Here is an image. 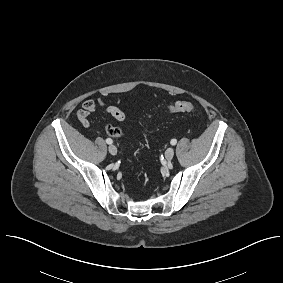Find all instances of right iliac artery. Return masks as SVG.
<instances>
[{
  "mask_svg": "<svg viewBox=\"0 0 283 283\" xmlns=\"http://www.w3.org/2000/svg\"><path fill=\"white\" fill-rule=\"evenodd\" d=\"M106 143H107V144H112V143H113V140L110 139V138H107V139H106Z\"/></svg>",
  "mask_w": 283,
  "mask_h": 283,
  "instance_id": "right-iliac-artery-1",
  "label": "right iliac artery"
}]
</instances>
